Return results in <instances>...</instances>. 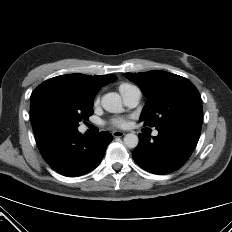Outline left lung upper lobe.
I'll use <instances>...</instances> for the list:
<instances>
[{
  "instance_id": "left-lung-upper-lobe-1",
  "label": "left lung upper lobe",
  "mask_w": 232,
  "mask_h": 232,
  "mask_svg": "<svg viewBox=\"0 0 232 232\" xmlns=\"http://www.w3.org/2000/svg\"><path fill=\"white\" fill-rule=\"evenodd\" d=\"M124 76L136 83L148 99L139 118L145 126L157 129L178 121H202L201 96L188 79L158 70Z\"/></svg>"
}]
</instances>
